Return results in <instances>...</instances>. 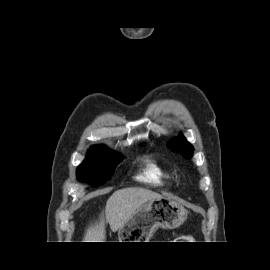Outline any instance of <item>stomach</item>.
Wrapping results in <instances>:
<instances>
[{"label":"stomach","mask_w":270,"mask_h":270,"mask_svg":"<svg viewBox=\"0 0 270 270\" xmlns=\"http://www.w3.org/2000/svg\"><path fill=\"white\" fill-rule=\"evenodd\" d=\"M188 212L179 202L161 197L145 203L118 230L119 242H149L159 228L174 229L187 219Z\"/></svg>","instance_id":"1"}]
</instances>
